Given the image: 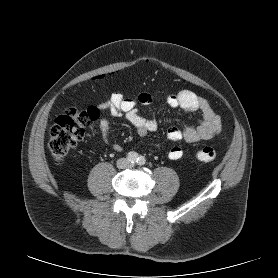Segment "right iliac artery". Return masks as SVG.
I'll list each match as a JSON object with an SVG mask.
<instances>
[{
	"label": "right iliac artery",
	"mask_w": 278,
	"mask_h": 278,
	"mask_svg": "<svg viewBox=\"0 0 278 278\" xmlns=\"http://www.w3.org/2000/svg\"><path fill=\"white\" fill-rule=\"evenodd\" d=\"M127 159L131 163L137 162L138 154L136 152H129L127 155Z\"/></svg>",
	"instance_id": "82829eb1"
}]
</instances>
